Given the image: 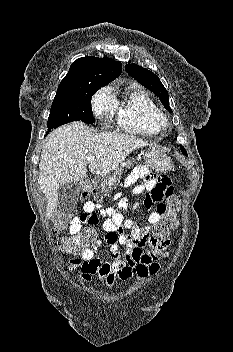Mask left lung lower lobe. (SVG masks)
<instances>
[{
	"label": "left lung lower lobe",
	"mask_w": 233,
	"mask_h": 352,
	"mask_svg": "<svg viewBox=\"0 0 233 352\" xmlns=\"http://www.w3.org/2000/svg\"><path fill=\"white\" fill-rule=\"evenodd\" d=\"M183 154L187 156V153H183Z\"/></svg>",
	"instance_id": "left-lung-lower-lobe-1"
}]
</instances>
